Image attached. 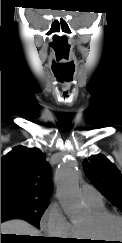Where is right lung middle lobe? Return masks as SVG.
<instances>
[{"instance_id":"right-lung-middle-lobe-1","label":"right lung middle lobe","mask_w":122,"mask_h":243,"mask_svg":"<svg viewBox=\"0 0 122 243\" xmlns=\"http://www.w3.org/2000/svg\"><path fill=\"white\" fill-rule=\"evenodd\" d=\"M48 204V199L22 195H5L1 196V213L25 215L32 220L37 228H40V219Z\"/></svg>"}]
</instances>
